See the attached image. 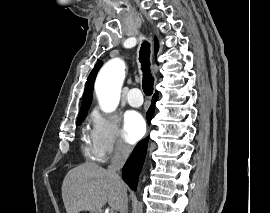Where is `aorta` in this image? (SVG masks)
I'll use <instances>...</instances> for the list:
<instances>
[{"label":"aorta","mask_w":270,"mask_h":213,"mask_svg":"<svg viewBox=\"0 0 270 213\" xmlns=\"http://www.w3.org/2000/svg\"><path fill=\"white\" fill-rule=\"evenodd\" d=\"M124 78L125 63L122 59H111L102 67L95 82V91L102 111L110 113L116 110Z\"/></svg>","instance_id":"aorta-1"}]
</instances>
